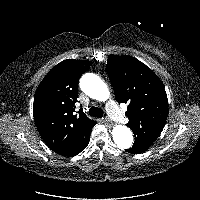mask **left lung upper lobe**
I'll return each instance as SVG.
<instances>
[{"instance_id": "obj_1", "label": "left lung upper lobe", "mask_w": 200, "mask_h": 200, "mask_svg": "<svg viewBox=\"0 0 200 200\" xmlns=\"http://www.w3.org/2000/svg\"><path fill=\"white\" fill-rule=\"evenodd\" d=\"M106 64L116 100L128 103L127 126L134 145L150 146L161 134L168 115L164 85L145 64L132 56L110 55Z\"/></svg>"}]
</instances>
